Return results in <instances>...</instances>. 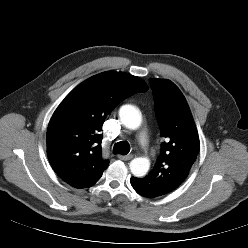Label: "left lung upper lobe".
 Wrapping results in <instances>:
<instances>
[{"label": "left lung upper lobe", "mask_w": 248, "mask_h": 248, "mask_svg": "<svg viewBox=\"0 0 248 248\" xmlns=\"http://www.w3.org/2000/svg\"><path fill=\"white\" fill-rule=\"evenodd\" d=\"M161 136L158 160L143 178H135L157 196L178 188L188 177L200 150L198 133L185 97L167 79L150 78Z\"/></svg>", "instance_id": "5c2ea615"}]
</instances>
